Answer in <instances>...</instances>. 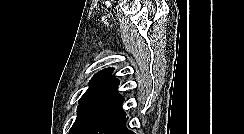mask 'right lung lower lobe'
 Listing matches in <instances>:
<instances>
[{"instance_id":"right-lung-lower-lobe-1","label":"right lung lower lobe","mask_w":244,"mask_h":134,"mask_svg":"<svg viewBox=\"0 0 244 134\" xmlns=\"http://www.w3.org/2000/svg\"><path fill=\"white\" fill-rule=\"evenodd\" d=\"M126 114L118 125L109 133V134H134L132 131H129L126 127Z\"/></svg>"}]
</instances>
